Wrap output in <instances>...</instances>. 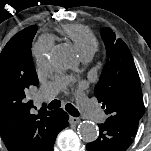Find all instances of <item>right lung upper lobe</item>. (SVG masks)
I'll list each match as a JSON object with an SVG mask.
<instances>
[{"instance_id":"obj_1","label":"right lung upper lobe","mask_w":151,"mask_h":151,"mask_svg":"<svg viewBox=\"0 0 151 151\" xmlns=\"http://www.w3.org/2000/svg\"><path fill=\"white\" fill-rule=\"evenodd\" d=\"M38 85L37 74L22 84L0 75V133L9 151H50L52 134L48 129L53 111H32V101L25 99L30 86Z\"/></svg>"}]
</instances>
